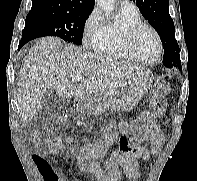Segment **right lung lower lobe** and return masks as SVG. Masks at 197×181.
<instances>
[{
	"label": "right lung lower lobe",
	"mask_w": 197,
	"mask_h": 181,
	"mask_svg": "<svg viewBox=\"0 0 197 181\" xmlns=\"http://www.w3.org/2000/svg\"><path fill=\"white\" fill-rule=\"evenodd\" d=\"M30 40L28 38H22L18 48H21L23 45H25L27 42H29Z\"/></svg>",
	"instance_id": "1"
}]
</instances>
